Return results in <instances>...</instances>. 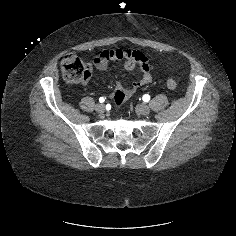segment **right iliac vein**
I'll return each mask as SVG.
<instances>
[{
	"mask_svg": "<svg viewBox=\"0 0 236 236\" xmlns=\"http://www.w3.org/2000/svg\"><path fill=\"white\" fill-rule=\"evenodd\" d=\"M95 110L98 112V113H104L105 112V106L103 104H97L95 106Z\"/></svg>",
	"mask_w": 236,
	"mask_h": 236,
	"instance_id": "obj_1",
	"label": "right iliac vein"
}]
</instances>
